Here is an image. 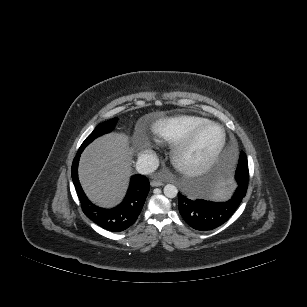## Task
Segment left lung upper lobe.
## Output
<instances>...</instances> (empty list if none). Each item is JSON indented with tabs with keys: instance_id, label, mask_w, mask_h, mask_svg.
Masks as SVG:
<instances>
[{
	"instance_id": "obj_1",
	"label": "left lung upper lobe",
	"mask_w": 307,
	"mask_h": 307,
	"mask_svg": "<svg viewBox=\"0 0 307 307\" xmlns=\"http://www.w3.org/2000/svg\"><path fill=\"white\" fill-rule=\"evenodd\" d=\"M236 179L238 180H242V178H245V181L247 182L248 181V177H249V172H245V171H242L238 166H237V169H236Z\"/></svg>"
}]
</instances>
